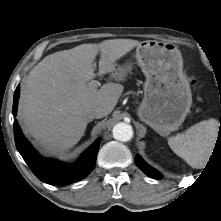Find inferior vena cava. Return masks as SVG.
<instances>
[{"label":"inferior vena cava","instance_id":"inferior-vena-cava-1","mask_svg":"<svg viewBox=\"0 0 221 221\" xmlns=\"http://www.w3.org/2000/svg\"><path fill=\"white\" fill-rule=\"evenodd\" d=\"M84 116L88 121H92L99 116L98 108H87L84 112Z\"/></svg>","mask_w":221,"mask_h":221}]
</instances>
